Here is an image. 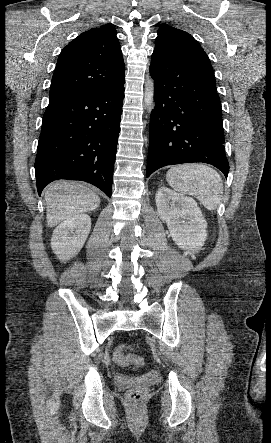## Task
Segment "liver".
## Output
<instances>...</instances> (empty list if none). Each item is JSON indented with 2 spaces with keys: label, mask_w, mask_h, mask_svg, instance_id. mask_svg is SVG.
I'll return each mask as SVG.
<instances>
[{
  "label": "liver",
  "mask_w": 271,
  "mask_h": 443,
  "mask_svg": "<svg viewBox=\"0 0 271 443\" xmlns=\"http://www.w3.org/2000/svg\"><path fill=\"white\" fill-rule=\"evenodd\" d=\"M48 227L72 218L79 212H92L100 206V198L80 182H54L45 194Z\"/></svg>",
  "instance_id": "liver-1"
}]
</instances>
